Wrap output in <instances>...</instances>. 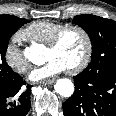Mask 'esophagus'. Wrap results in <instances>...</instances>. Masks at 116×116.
Returning <instances> with one entry per match:
<instances>
[{"label":"esophagus","mask_w":116,"mask_h":116,"mask_svg":"<svg viewBox=\"0 0 116 116\" xmlns=\"http://www.w3.org/2000/svg\"><path fill=\"white\" fill-rule=\"evenodd\" d=\"M54 82H55V80H45V81H43V84L52 85Z\"/></svg>","instance_id":"obj_1"}]
</instances>
